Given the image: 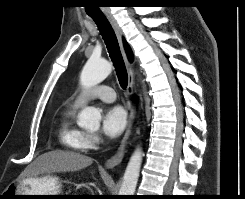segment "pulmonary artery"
Segmentation results:
<instances>
[{
  "label": "pulmonary artery",
  "instance_id": "e3ab8cb5",
  "mask_svg": "<svg viewBox=\"0 0 245 199\" xmlns=\"http://www.w3.org/2000/svg\"><path fill=\"white\" fill-rule=\"evenodd\" d=\"M92 99H100L105 102H113L116 99V95L111 87L99 85L78 93L75 97L74 104L77 107L82 106Z\"/></svg>",
  "mask_w": 245,
  "mask_h": 199
}]
</instances>
